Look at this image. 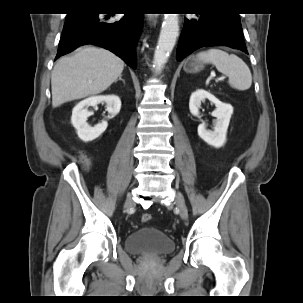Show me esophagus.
Returning <instances> with one entry per match:
<instances>
[{"label":"esophagus","mask_w":303,"mask_h":303,"mask_svg":"<svg viewBox=\"0 0 303 303\" xmlns=\"http://www.w3.org/2000/svg\"><path fill=\"white\" fill-rule=\"evenodd\" d=\"M146 19L148 21L149 24H155L157 22V16L153 15V14H146Z\"/></svg>","instance_id":"34e87169"}]
</instances>
